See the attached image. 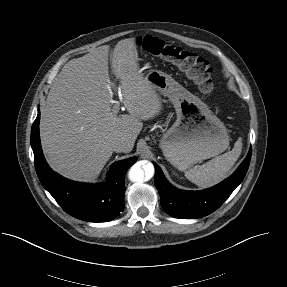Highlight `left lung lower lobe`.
<instances>
[{"label":"left lung lower lobe","mask_w":287,"mask_h":287,"mask_svg":"<svg viewBox=\"0 0 287 287\" xmlns=\"http://www.w3.org/2000/svg\"><path fill=\"white\" fill-rule=\"evenodd\" d=\"M251 152L252 149L232 176L214 187L201 191L175 188L167 181L161 168L154 163L155 185L160 194L163 210L181 219L200 218L214 212L242 182L249 167Z\"/></svg>","instance_id":"0a47b994"}]
</instances>
